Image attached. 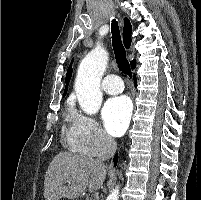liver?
Segmentation results:
<instances>
[{
    "mask_svg": "<svg viewBox=\"0 0 201 200\" xmlns=\"http://www.w3.org/2000/svg\"><path fill=\"white\" fill-rule=\"evenodd\" d=\"M106 174L105 166L96 159L69 152L58 153L45 175L44 197L46 200L76 199L86 188L91 193L100 189Z\"/></svg>",
    "mask_w": 201,
    "mask_h": 200,
    "instance_id": "liver-1",
    "label": "liver"
}]
</instances>
